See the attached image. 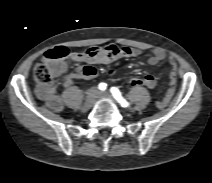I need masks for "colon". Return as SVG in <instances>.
<instances>
[{
  "mask_svg": "<svg viewBox=\"0 0 212 183\" xmlns=\"http://www.w3.org/2000/svg\"><path fill=\"white\" fill-rule=\"evenodd\" d=\"M68 55V49L63 46L48 50L44 55L47 61L38 63L34 67L33 76L35 81L41 86L51 85L54 79L58 77V74L52 69L51 65L63 61ZM142 86L147 87L145 80L137 77L130 78L125 82V87L127 89Z\"/></svg>",
  "mask_w": 212,
  "mask_h": 183,
  "instance_id": "5ec220e1",
  "label": "colon"
}]
</instances>
